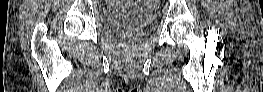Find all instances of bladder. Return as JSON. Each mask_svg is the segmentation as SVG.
<instances>
[{"label":"bladder","mask_w":263,"mask_h":92,"mask_svg":"<svg viewBox=\"0 0 263 92\" xmlns=\"http://www.w3.org/2000/svg\"><path fill=\"white\" fill-rule=\"evenodd\" d=\"M152 14L147 9H118L107 14V23L114 28L134 25L145 28L152 22Z\"/></svg>","instance_id":"bladder-1"}]
</instances>
